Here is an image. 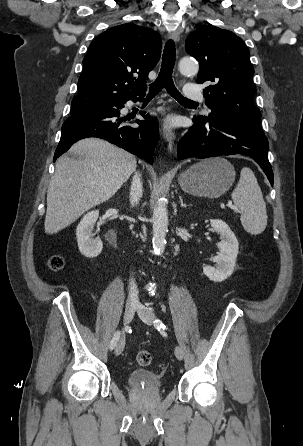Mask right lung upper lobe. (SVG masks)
<instances>
[{"label": "right lung upper lobe", "instance_id": "right-lung-upper-lobe-1", "mask_svg": "<svg viewBox=\"0 0 303 446\" xmlns=\"http://www.w3.org/2000/svg\"><path fill=\"white\" fill-rule=\"evenodd\" d=\"M160 53L161 37L150 28L126 23L108 29L89 46L74 100L88 103L92 110L144 94L145 80Z\"/></svg>", "mask_w": 303, "mask_h": 446}]
</instances>
